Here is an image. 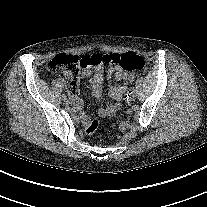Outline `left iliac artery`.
<instances>
[{"mask_svg":"<svg viewBox=\"0 0 207 207\" xmlns=\"http://www.w3.org/2000/svg\"><path fill=\"white\" fill-rule=\"evenodd\" d=\"M129 93H130L131 95H134V94L136 93V90H135L134 88H131V89L129 90Z\"/></svg>","mask_w":207,"mask_h":207,"instance_id":"left-iliac-artery-1","label":"left iliac artery"}]
</instances>
